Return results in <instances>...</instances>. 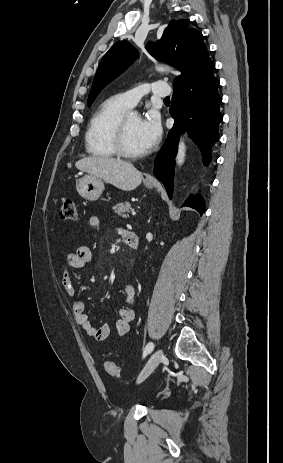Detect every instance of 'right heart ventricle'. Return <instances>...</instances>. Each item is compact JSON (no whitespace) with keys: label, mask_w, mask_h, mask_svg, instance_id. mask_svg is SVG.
<instances>
[{"label":"right heart ventricle","mask_w":283,"mask_h":463,"mask_svg":"<svg viewBox=\"0 0 283 463\" xmlns=\"http://www.w3.org/2000/svg\"><path fill=\"white\" fill-rule=\"evenodd\" d=\"M118 96L103 101L93 113L85 135L86 151L100 158L116 155L114 132L120 118L128 111Z\"/></svg>","instance_id":"obj_1"}]
</instances>
